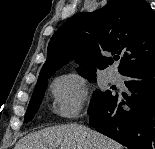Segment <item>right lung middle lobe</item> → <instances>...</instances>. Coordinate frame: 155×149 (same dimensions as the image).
<instances>
[{"label":"right lung middle lobe","instance_id":"1","mask_svg":"<svg viewBox=\"0 0 155 149\" xmlns=\"http://www.w3.org/2000/svg\"><path fill=\"white\" fill-rule=\"evenodd\" d=\"M78 73L81 74L83 77L88 78L91 82L96 81V71H83ZM50 77L38 80V83L34 89L32 98L29 102V105L25 114V122L30 121L34 117L35 113L37 112L39 105L41 104L44 91L47 87V83H48L47 80ZM113 97L114 96L109 90L105 92H101L97 90L91 99V103L88 111L89 112L94 111L98 107L109 102Z\"/></svg>","mask_w":155,"mask_h":149}]
</instances>
